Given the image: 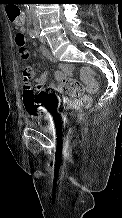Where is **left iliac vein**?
<instances>
[{
	"mask_svg": "<svg viewBox=\"0 0 122 218\" xmlns=\"http://www.w3.org/2000/svg\"><path fill=\"white\" fill-rule=\"evenodd\" d=\"M39 40H40V42H41L42 44H45V43H46L45 38H43V37H41V36H39Z\"/></svg>",
	"mask_w": 122,
	"mask_h": 218,
	"instance_id": "1",
	"label": "left iliac vein"
}]
</instances>
